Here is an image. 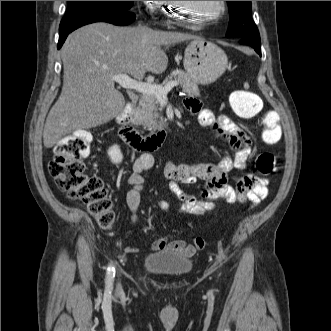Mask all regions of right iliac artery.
I'll return each instance as SVG.
<instances>
[{
    "label": "right iliac artery",
    "instance_id": "right-iliac-artery-1",
    "mask_svg": "<svg viewBox=\"0 0 331 331\" xmlns=\"http://www.w3.org/2000/svg\"><path fill=\"white\" fill-rule=\"evenodd\" d=\"M114 275H115V269H114L113 265L110 264L107 268V274H106V283H107L108 288H110L112 286Z\"/></svg>",
    "mask_w": 331,
    "mask_h": 331
}]
</instances>
